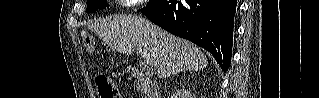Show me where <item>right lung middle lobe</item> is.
I'll return each mask as SVG.
<instances>
[{
	"mask_svg": "<svg viewBox=\"0 0 319 98\" xmlns=\"http://www.w3.org/2000/svg\"><path fill=\"white\" fill-rule=\"evenodd\" d=\"M108 6L107 0H87V12H94Z\"/></svg>",
	"mask_w": 319,
	"mask_h": 98,
	"instance_id": "right-lung-middle-lobe-1",
	"label": "right lung middle lobe"
}]
</instances>
